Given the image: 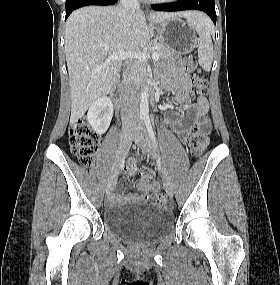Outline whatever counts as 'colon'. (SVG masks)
Listing matches in <instances>:
<instances>
[{"mask_svg": "<svg viewBox=\"0 0 280 285\" xmlns=\"http://www.w3.org/2000/svg\"><path fill=\"white\" fill-rule=\"evenodd\" d=\"M185 68L191 74L194 88L191 92L192 97H199L205 94L207 80L197 70V63L194 57L185 59ZM210 126H195L191 129L188 139L190 151L195 154H201L208 145V133ZM70 146L72 152L78 157L79 162L90 167L93 163V158L98 146V135L95 133L89 124L85 121L74 123L70 128ZM141 177L145 183H151L154 174L150 169H142ZM156 204H164L167 202V197L164 194H156L151 198Z\"/></svg>", "mask_w": 280, "mask_h": 285, "instance_id": "colon-1", "label": "colon"}]
</instances>
